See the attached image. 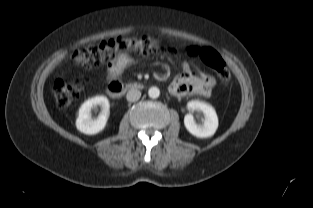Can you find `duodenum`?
Listing matches in <instances>:
<instances>
[{
  "instance_id": "duodenum-1",
  "label": "duodenum",
  "mask_w": 313,
  "mask_h": 208,
  "mask_svg": "<svg viewBox=\"0 0 313 208\" xmlns=\"http://www.w3.org/2000/svg\"><path fill=\"white\" fill-rule=\"evenodd\" d=\"M141 87H142V85L140 83H137V82L113 81V82L108 84L107 92L112 97H120L128 90L140 89Z\"/></svg>"
}]
</instances>
